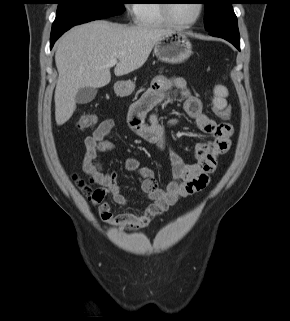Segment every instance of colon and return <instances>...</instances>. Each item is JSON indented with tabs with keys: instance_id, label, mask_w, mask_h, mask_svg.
Here are the masks:
<instances>
[{
	"instance_id": "5ec220e1",
	"label": "colon",
	"mask_w": 290,
	"mask_h": 321,
	"mask_svg": "<svg viewBox=\"0 0 290 321\" xmlns=\"http://www.w3.org/2000/svg\"><path fill=\"white\" fill-rule=\"evenodd\" d=\"M214 112L221 118L229 119L231 116V111L229 108H218L214 107ZM97 122V118L95 115L91 113H85L81 115L78 120V128L82 131H86L91 129ZM77 184L83 194L89 198L93 199L94 197H102L103 192L99 188H93L89 182L83 179H78Z\"/></svg>"
}]
</instances>
